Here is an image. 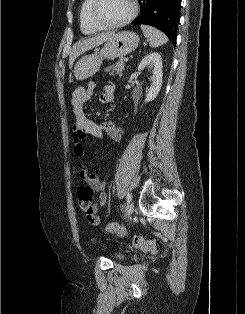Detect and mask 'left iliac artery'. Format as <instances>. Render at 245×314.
<instances>
[{"label": "left iliac artery", "mask_w": 245, "mask_h": 314, "mask_svg": "<svg viewBox=\"0 0 245 314\" xmlns=\"http://www.w3.org/2000/svg\"><path fill=\"white\" fill-rule=\"evenodd\" d=\"M131 195L128 193V195H127V202H130L131 201Z\"/></svg>", "instance_id": "44dca946"}]
</instances>
